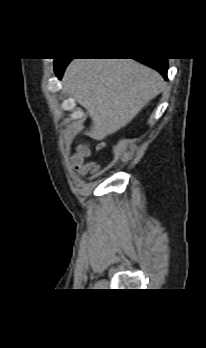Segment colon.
<instances>
[{"label":"colon","mask_w":206,"mask_h":348,"mask_svg":"<svg viewBox=\"0 0 206 348\" xmlns=\"http://www.w3.org/2000/svg\"><path fill=\"white\" fill-rule=\"evenodd\" d=\"M88 155V149L84 146H80L77 150V153L75 155V162H81L83 159Z\"/></svg>","instance_id":"obj_1"}]
</instances>
